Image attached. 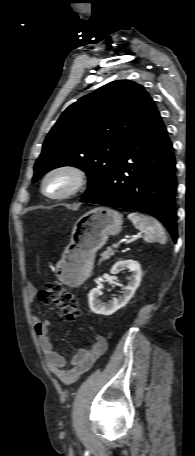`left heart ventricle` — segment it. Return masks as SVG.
<instances>
[{"label": "left heart ventricle", "instance_id": "b2bd125f", "mask_svg": "<svg viewBox=\"0 0 195 456\" xmlns=\"http://www.w3.org/2000/svg\"><path fill=\"white\" fill-rule=\"evenodd\" d=\"M73 184V178L66 173L51 176L46 182V190L51 194H60L67 191Z\"/></svg>", "mask_w": 195, "mask_h": 456}]
</instances>
